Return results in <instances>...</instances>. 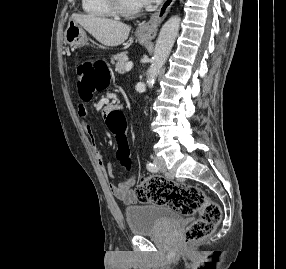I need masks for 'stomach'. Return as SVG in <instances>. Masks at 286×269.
Returning <instances> with one entry per match:
<instances>
[{"label":"stomach","instance_id":"stomach-1","mask_svg":"<svg viewBox=\"0 0 286 269\" xmlns=\"http://www.w3.org/2000/svg\"><path fill=\"white\" fill-rule=\"evenodd\" d=\"M137 37L141 44L147 41L146 37L140 32L137 33ZM87 41L88 37L82 26L74 20H70L64 32V42L71 47L77 48L84 46Z\"/></svg>","mask_w":286,"mask_h":269}]
</instances>
